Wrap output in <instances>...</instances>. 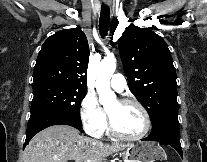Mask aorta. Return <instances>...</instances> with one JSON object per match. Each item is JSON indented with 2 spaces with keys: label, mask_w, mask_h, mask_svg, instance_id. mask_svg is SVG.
<instances>
[{
  "label": "aorta",
  "mask_w": 207,
  "mask_h": 162,
  "mask_svg": "<svg viewBox=\"0 0 207 162\" xmlns=\"http://www.w3.org/2000/svg\"><path fill=\"white\" fill-rule=\"evenodd\" d=\"M116 69V58L114 56L105 57L98 68L96 89L99 95V102L104 107L116 102V96L110 88V79Z\"/></svg>",
  "instance_id": "1"
}]
</instances>
